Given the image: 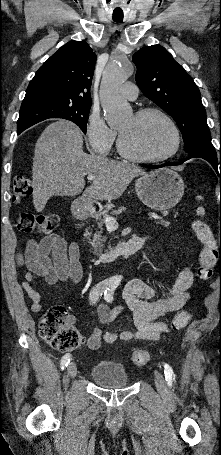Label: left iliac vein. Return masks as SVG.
I'll use <instances>...</instances> for the list:
<instances>
[{"label":"left iliac vein","instance_id":"4c4485c4","mask_svg":"<svg viewBox=\"0 0 221 455\" xmlns=\"http://www.w3.org/2000/svg\"><path fill=\"white\" fill-rule=\"evenodd\" d=\"M155 385L160 393H166L167 386L164 376L160 372H155Z\"/></svg>","mask_w":221,"mask_h":455}]
</instances>
